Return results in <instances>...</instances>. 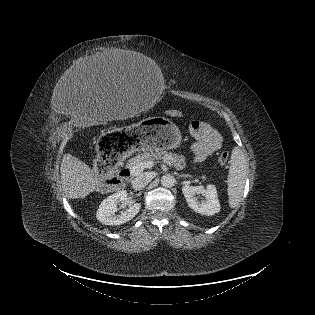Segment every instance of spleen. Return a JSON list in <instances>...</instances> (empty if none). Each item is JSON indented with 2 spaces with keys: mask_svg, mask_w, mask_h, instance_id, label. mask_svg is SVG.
<instances>
[{
  "mask_svg": "<svg viewBox=\"0 0 315 315\" xmlns=\"http://www.w3.org/2000/svg\"><path fill=\"white\" fill-rule=\"evenodd\" d=\"M247 169L248 162L242 150L235 147L232 150L230 158V169L227 180L228 202L231 208H235L241 200L246 181Z\"/></svg>",
  "mask_w": 315,
  "mask_h": 315,
  "instance_id": "1",
  "label": "spleen"
}]
</instances>
